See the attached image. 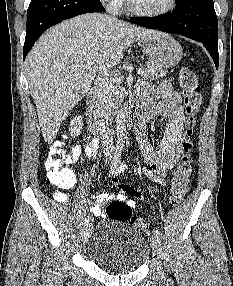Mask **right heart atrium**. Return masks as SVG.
<instances>
[{"mask_svg": "<svg viewBox=\"0 0 233 286\" xmlns=\"http://www.w3.org/2000/svg\"><path fill=\"white\" fill-rule=\"evenodd\" d=\"M107 3L110 10H116L123 4L124 0H102Z\"/></svg>", "mask_w": 233, "mask_h": 286, "instance_id": "d8ad5b80", "label": "right heart atrium"}]
</instances>
